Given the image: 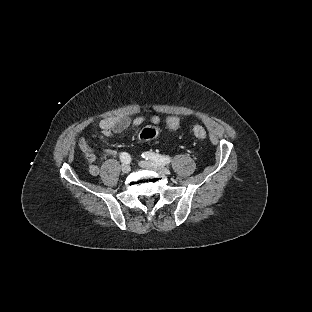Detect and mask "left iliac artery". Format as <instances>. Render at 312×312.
<instances>
[{"instance_id": "obj_1", "label": "left iliac artery", "mask_w": 312, "mask_h": 312, "mask_svg": "<svg viewBox=\"0 0 312 312\" xmlns=\"http://www.w3.org/2000/svg\"><path fill=\"white\" fill-rule=\"evenodd\" d=\"M142 157L145 158L146 160L150 159L160 165H165L171 162V158L169 156H163L151 152L143 153Z\"/></svg>"}]
</instances>
